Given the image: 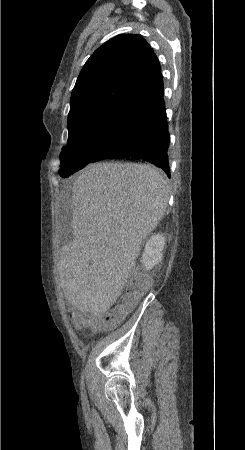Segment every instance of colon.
<instances>
[{
    "label": "colon",
    "instance_id": "colon-1",
    "mask_svg": "<svg viewBox=\"0 0 245 450\" xmlns=\"http://www.w3.org/2000/svg\"><path fill=\"white\" fill-rule=\"evenodd\" d=\"M125 288V292L120 296L118 302L113 307L90 315L81 321V327H111L120 323L126 315L134 309L140 297L147 290V287L143 283L142 276L138 273L131 275L125 284Z\"/></svg>",
    "mask_w": 245,
    "mask_h": 450
}]
</instances>
